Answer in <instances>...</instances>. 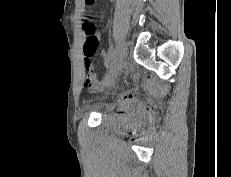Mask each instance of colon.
Wrapping results in <instances>:
<instances>
[{
  "mask_svg": "<svg viewBox=\"0 0 231 177\" xmlns=\"http://www.w3.org/2000/svg\"><path fill=\"white\" fill-rule=\"evenodd\" d=\"M94 2L95 0H85L86 4H93ZM84 30L87 34V39L84 46V53L86 57L91 58L97 49L98 39L95 34L94 27L91 23L86 22L84 24Z\"/></svg>",
  "mask_w": 231,
  "mask_h": 177,
  "instance_id": "1",
  "label": "colon"
}]
</instances>
